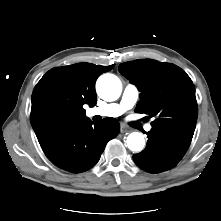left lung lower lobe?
Wrapping results in <instances>:
<instances>
[{"label": "left lung lower lobe", "mask_w": 221, "mask_h": 221, "mask_svg": "<svg viewBox=\"0 0 221 221\" xmlns=\"http://www.w3.org/2000/svg\"><path fill=\"white\" fill-rule=\"evenodd\" d=\"M146 148L133 155L135 164L149 173L173 168L185 155L191 141L164 129L152 128Z\"/></svg>", "instance_id": "1"}]
</instances>
